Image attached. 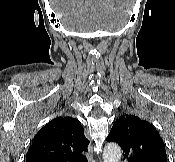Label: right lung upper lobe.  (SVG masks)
I'll return each instance as SVG.
<instances>
[{"label":"right lung upper lobe","mask_w":175,"mask_h":162,"mask_svg":"<svg viewBox=\"0 0 175 162\" xmlns=\"http://www.w3.org/2000/svg\"><path fill=\"white\" fill-rule=\"evenodd\" d=\"M88 145L80 121L58 117L34 136L26 162H87L82 152L87 151Z\"/></svg>","instance_id":"right-lung-upper-lobe-1"}]
</instances>
